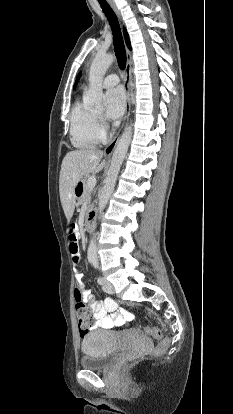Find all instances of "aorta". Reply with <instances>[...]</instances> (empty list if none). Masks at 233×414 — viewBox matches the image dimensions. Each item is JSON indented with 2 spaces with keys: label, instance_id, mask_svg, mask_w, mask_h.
I'll use <instances>...</instances> for the list:
<instances>
[{
  "label": "aorta",
  "instance_id": "1",
  "mask_svg": "<svg viewBox=\"0 0 233 414\" xmlns=\"http://www.w3.org/2000/svg\"><path fill=\"white\" fill-rule=\"evenodd\" d=\"M114 61L111 54L98 53L94 58L89 71V88L83 97V103L86 108L101 109L102 108V81L103 77ZM132 139V124L130 123L125 129L123 135L119 139L114 150L110 168L107 173L105 185L102 188L99 198V215L102 214L107 205L111 194L114 191L117 176L123 163L124 157L128 151L129 144ZM88 260L90 262L97 261V249L95 237L90 241L88 247Z\"/></svg>",
  "mask_w": 233,
  "mask_h": 414
}]
</instances>
